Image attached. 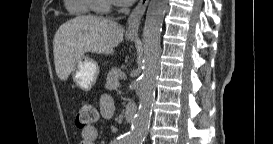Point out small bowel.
<instances>
[{"instance_id":"1","label":"small bowel","mask_w":273,"mask_h":144,"mask_svg":"<svg viewBox=\"0 0 273 144\" xmlns=\"http://www.w3.org/2000/svg\"><path fill=\"white\" fill-rule=\"evenodd\" d=\"M116 106L112 98L102 96L100 99V114L104 119L113 117ZM98 138V130L95 126H89L81 130V139L78 144H94Z\"/></svg>"}]
</instances>
